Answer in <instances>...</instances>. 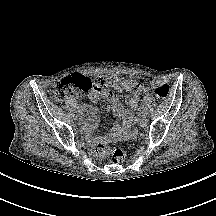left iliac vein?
Listing matches in <instances>:
<instances>
[{
    "label": "left iliac vein",
    "instance_id": "left-iliac-vein-1",
    "mask_svg": "<svg viewBox=\"0 0 216 216\" xmlns=\"http://www.w3.org/2000/svg\"><path fill=\"white\" fill-rule=\"evenodd\" d=\"M146 115H147V114H146L145 111L139 112V120H140L141 123H144L145 118H146Z\"/></svg>",
    "mask_w": 216,
    "mask_h": 216
}]
</instances>
